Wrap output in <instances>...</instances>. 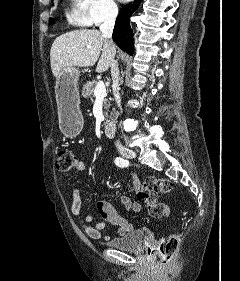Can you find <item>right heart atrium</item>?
I'll return each mask as SVG.
<instances>
[{
    "label": "right heart atrium",
    "instance_id": "right-heart-atrium-1",
    "mask_svg": "<svg viewBox=\"0 0 240 281\" xmlns=\"http://www.w3.org/2000/svg\"><path fill=\"white\" fill-rule=\"evenodd\" d=\"M88 14L93 25H100L116 18L119 12L114 0H87Z\"/></svg>",
    "mask_w": 240,
    "mask_h": 281
}]
</instances>
